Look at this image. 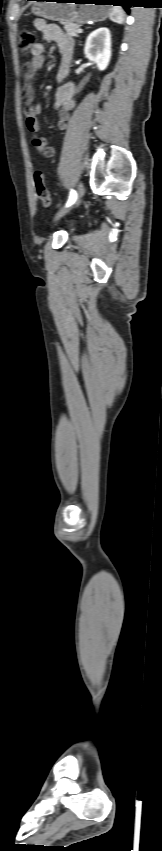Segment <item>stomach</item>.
Returning <instances> with one entry per match:
<instances>
[{
	"instance_id": "obj_1",
	"label": "stomach",
	"mask_w": 162,
	"mask_h": 851,
	"mask_svg": "<svg viewBox=\"0 0 162 851\" xmlns=\"http://www.w3.org/2000/svg\"><path fill=\"white\" fill-rule=\"evenodd\" d=\"M47 1L38 0V2H34L32 12L36 16L62 23L81 25L89 21L99 22L105 20L111 11V7L102 5L101 0Z\"/></svg>"
}]
</instances>
